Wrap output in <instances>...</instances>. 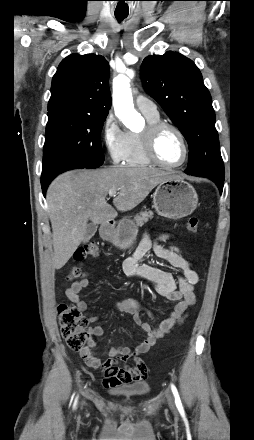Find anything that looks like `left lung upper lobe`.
I'll return each instance as SVG.
<instances>
[{
  "instance_id": "1",
  "label": "left lung upper lobe",
  "mask_w": 254,
  "mask_h": 440,
  "mask_svg": "<svg viewBox=\"0 0 254 440\" xmlns=\"http://www.w3.org/2000/svg\"><path fill=\"white\" fill-rule=\"evenodd\" d=\"M143 86L184 135L189 146V175L224 179V164L215 128V112L200 70L180 53L145 58Z\"/></svg>"
}]
</instances>
